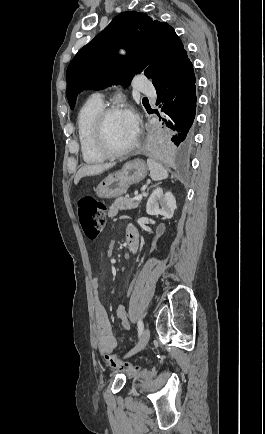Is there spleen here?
<instances>
[{
  "label": "spleen",
  "instance_id": "3e777b00",
  "mask_svg": "<svg viewBox=\"0 0 265 434\" xmlns=\"http://www.w3.org/2000/svg\"><path fill=\"white\" fill-rule=\"evenodd\" d=\"M148 170H150V178L158 182V180H165L168 178L167 170L161 164H157L155 160H147Z\"/></svg>",
  "mask_w": 265,
  "mask_h": 434
}]
</instances>
